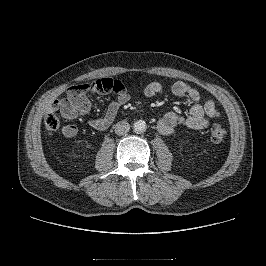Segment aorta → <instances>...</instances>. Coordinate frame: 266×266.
<instances>
[{"mask_svg":"<svg viewBox=\"0 0 266 266\" xmlns=\"http://www.w3.org/2000/svg\"><path fill=\"white\" fill-rule=\"evenodd\" d=\"M146 122L144 120H137L133 124L134 131L137 133H143L146 130Z\"/></svg>","mask_w":266,"mask_h":266,"instance_id":"aorta-1","label":"aorta"}]
</instances>
